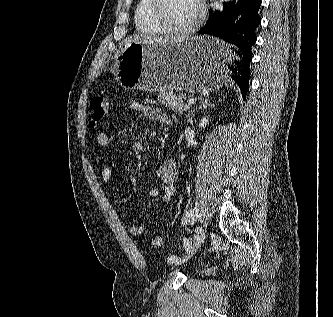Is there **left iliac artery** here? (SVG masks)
Returning a JSON list of instances; mask_svg holds the SVG:
<instances>
[{"label": "left iliac artery", "mask_w": 333, "mask_h": 317, "mask_svg": "<svg viewBox=\"0 0 333 317\" xmlns=\"http://www.w3.org/2000/svg\"><path fill=\"white\" fill-rule=\"evenodd\" d=\"M198 215V209L196 207L194 208H190L185 216L182 219V225H186L187 223H189L191 220H194ZM184 246L186 248L187 253H189L190 249H191V243L188 241V239L184 238ZM179 260V258L175 255H171L168 257V261L169 262H177Z\"/></svg>", "instance_id": "44dca946"}]
</instances>
